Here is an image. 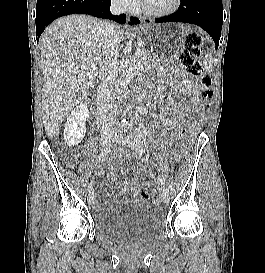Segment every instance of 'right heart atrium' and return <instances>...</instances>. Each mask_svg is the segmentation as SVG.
Wrapping results in <instances>:
<instances>
[{"label": "right heart atrium", "instance_id": "right-heart-atrium-1", "mask_svg": "<svg viewBox=\"0 0 265 273\" xmlns=\"http://www.w3.org/2000/svg\"><path fill=\"white\" fill-rule=\"evenodd\" d=\"M135 0H112V4L118 9H129L133 6Z\"/></svg>", "mask_w": 265, "mask_h": 273}]
</instances>
